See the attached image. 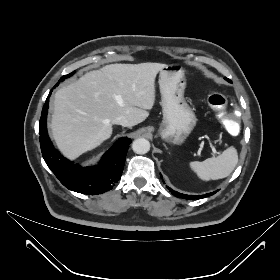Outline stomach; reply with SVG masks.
Wrapping results in <instances>:
<instances>
[{
	"label": "stomach",
	"instance_id": "stomach-1",
	"mask_svg": "<svg viewBox=\"0 0 280 280\" xmlns=\"http://www.w3.org/2000/svg\"><path fill=\"white\" fill-rule=\"evenodd\" d=\"M163 120L159 127L161 138L180 145L196 126L197 118L187 103L185 69L181 64L166 65L159 75Z\"/></svg>",
	"mask_w": 280,
	"mask_h": 280
}]
</instances>
